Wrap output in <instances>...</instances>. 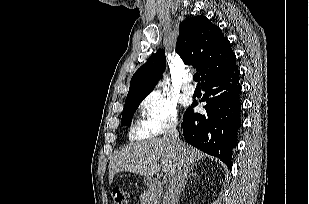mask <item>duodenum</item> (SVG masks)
<instances>
[{
	"mask_svg": "<svg viewBox=\"0 0 309 204\" xmlns=\"http://www.w3.org/2000/svg\"><path fill=\"white\" fill-rule=\"evenodd\" d=\"M149 187L151 188V191H152V197L157 200L159 199L161 196L164 195V191H163V187L160 183L159 180L157 179H154V178H150L148 181H147Z\"/></svg>",
	"mask_w": 309,
	"mask_h": 204,
	"instance_id": "410a0bca",
	"label": "duodenum"
}]
</instances>
